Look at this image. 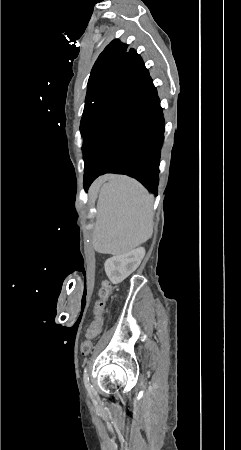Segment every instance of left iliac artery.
<instances>
[{
	"instance_id": "44dca946",
	"label": "left iliac artery",
	"mask_w": 241,
	"mask_h": 450,
	"mask_svg": "<svg viewBox=\"0 0 241 450\" xmlns=\"http://www.w3.org/2000/svg\"><path fill=\"white\" fill-rule=\"evenodd\" d=\"M83 382H84L85 388H86L87 391L90 393L91 390H92V385L90 384V381H89V376H88V369H87V367L84 368Z\"/></svg>"
}]
</instances>
